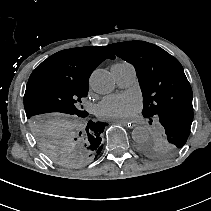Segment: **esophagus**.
Returning <instances> with one entry per match:
<instances>
[{"mask_svg":"<svg viewBox=\"0 0 211 211\" xmlns=\"http://www.w3.org/2000/svg\"><path fill=\"white\" fill-rule=\"evenodd\" d=\"M112 122L117 123L119 125H127L128 121H124V120H112ZM134 126V124L132 125V127Z\"/></svg>","mask_w":211,"mask_h":211,"instance_id":"esophagus-1","label":"esophagus"}]
</instances>
